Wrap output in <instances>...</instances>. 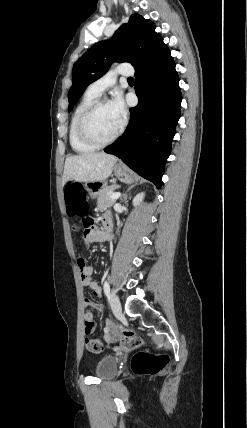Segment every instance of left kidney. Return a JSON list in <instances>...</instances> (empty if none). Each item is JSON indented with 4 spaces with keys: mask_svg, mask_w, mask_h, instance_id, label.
I'll return each instance as SVG.
<instances>
[{
    "mask_svg": "<svg viewBox=\"0 0 247 428\" xmlns=\"http://www.w3.org/2000/svg\"><path fill=\"white\" fill-rule=\"evenodd\" d=\"M144 193L142 192V193H139V194H137L135 197H134V199H133V205L134 206H137V205H139L140 204V202H142V200H143V198H144Z\"/></svg>",
    "mask_w": 247,
    "mask_h": 428,
    "instance_id": "obj_1",
    "label": "left kidney"
}]
</instances>
